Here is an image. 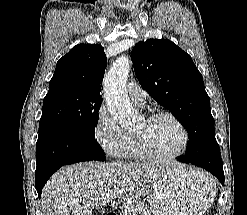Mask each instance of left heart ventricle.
Segmentation results:
<instances>
[{
  "mask_svg": "<svg viewBox=\"0 0 247 215\" xmlns=\"http://www.w3.org/2000/svg\"><path fill=\"white\" fill-rule=\"evenodd\" d=\"M133 133L142 134L150 149L162 155L176 153L183 141L181 130L168 118H159L150 123L142 119Z\"/></svg>",
  "mask_w": 247,
  "mask_h": 215,
  "instance_id": "b2bd125f",
  "label": "left heart ventricle"
}]
</instances>
